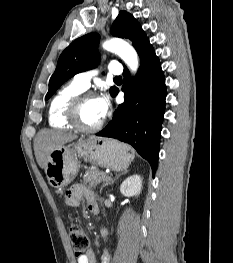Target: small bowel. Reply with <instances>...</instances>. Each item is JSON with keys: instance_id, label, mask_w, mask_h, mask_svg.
Instances as JSON below:
<instances>
[{"instance_id": "1", "label": "small bowel", "mask_w": 233, "mask_h": 263, "mask_svg": "<svg viewBox=\"0 0 233 263\" xmlns=\"http://www.w3.org/2000/svg\"><path fill=\"white\" fill-rule=\"evenodd\" d=\"M84 198L87 207L92 212L96 213L98 211V206L95 200V197L92 192L87 190L85 187L79 184L72 185L65 194V201L68 205L76 206L79 204L80 200ZM103 234H106V231L103 230ZM77 263H96L95 254L92 250H88L83 256L77 257ZM110 254L108 250H105L101 256V263H109Z\"/></svg>"}]
</instances>
